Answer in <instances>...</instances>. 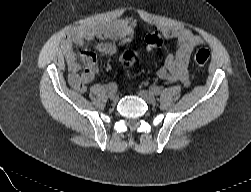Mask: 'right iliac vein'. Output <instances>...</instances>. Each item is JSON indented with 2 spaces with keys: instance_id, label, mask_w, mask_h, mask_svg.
<instances>
[{
  "instance_id": "1",
  "label": "right iliac vein",
  "mask_w": 251,
  "mask_h": 192,
  "mask_svg": "<svg viewBox=\"0 0 251 192\" xmlns=\"http://www.w3.org/2000/svg\"><path fill=\"white\" fill-rule=\"evenodd\" d=\"M108 96H109V98H110L111 100H113V101H117V100H118V96H117L116 92H114V91H110V92L108 93Z\"/></svg>"
}]
</instances>
